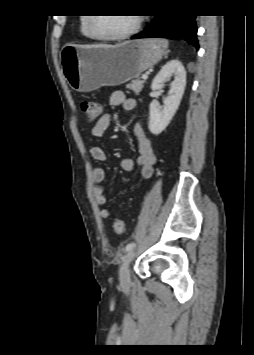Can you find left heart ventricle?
Here are the masks:
<instances>
[{
	"label": "left heart ventricle",
	"mask_w": 254,
	"mask_h": 355,
	"mask_svg": "<svg viewBox=\"0 0 254 355\" xmlns=\"http://www.w3.org/2000/svg\"><path fill=\"white\" fill-rule=\"evenodd\" d=\"M134 19V15L99 18L97 21V29L103 35H118L130 29L134 24Z\"/></svg>",
	"instance_id": "left-heart-ventricle-1"
}]
</instances>
